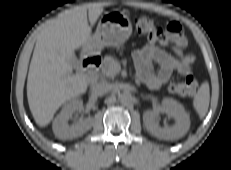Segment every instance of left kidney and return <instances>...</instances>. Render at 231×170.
<instances>
[{
    "mask_svg": "<svg viewBox=\"0 0 231 170\" xmlns=\"http://www.w3.org/2000/svg\"><path fill=\"white\" fill-rule=\"evenodd\" d=\"M161 112L175 120L174 125L161 128L157 120ZM143 122L147 130L159 139L175 140L184 136L190 128V117L184 107L172 98H165L159 109L147 110L143 114Z\"/></svg>",
    "mask_w": 231,
    "mask_h": 170,
    "instance_id": "5707ae66",
    "label": "left kidney"
}]
</instances>
